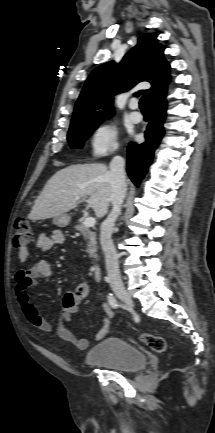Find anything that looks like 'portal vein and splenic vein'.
<instances>
[{
	"label": "portal vein and splenic vein",
	"instance_id": "18ae733b",
	"mask_svg": "<svg viewBox=\"0 0 215 433\" xmlns=\"http://www.w3.org/2000/svg\"><path fill=\"white\" fill-rule=\"evenodd\" d=\"M76 199L79 200L80 197H76ZM83 223H84V225L87 226V227H93V226L95 225V223H96V220H95V218H93V217H87V218L84 220Z\"/></svg>",
	"mask_w": 215,
	"mask_h": 433
}]
</instances>
